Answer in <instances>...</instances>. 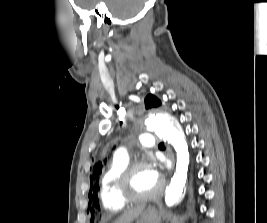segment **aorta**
I'll use <instances>...</instances> for the list:
<instances>
[{
  "label": "aorta",
  "mask_w": 267,
  "mask_h": 223,
  "mask_svg": "<svg viewBox=\"0 0 267 223\" xmlns=\"http://www.w3.org/2000/svg\"><path fill=\"white\" fill-rule=\"evenodd\" d=\"M145 125L148 130L154 131L167 141L176 151V170L165 191V204L172 207L178 204L185 192L189 167V152L181 125L171 115H152Z\"/></svg>",
  "instance_id": "762f6f07"
}]
</instances>
